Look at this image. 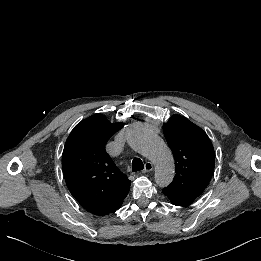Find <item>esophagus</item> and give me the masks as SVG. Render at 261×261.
Wrapping results in <instances>:
<instances>
[{"label":"esophagus","mask_w":261,"mask_h":261,"mask_svg":"<svg viewBox=\"0 0 261 261\" xmlns=\"http://www.w3.org/2000/svg\"><path fill=\"white\" fill-rule=\"evenodd\" d=\"M153 170V164L148 161L145 163V166H144V170H143V173H147V172H150Z\"/></svg>","instance_id":"1"}]
</instances>
